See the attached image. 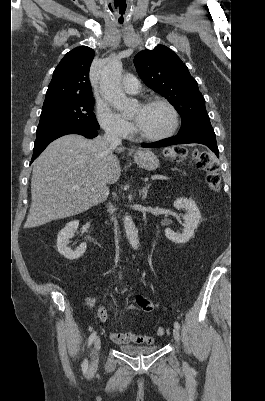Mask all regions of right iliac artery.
I'll list each match as a JSON object with an SVG mask.
<instances>
[{
  "mask_svg": "<svg viewBox=\"0 0 265 401\" xmlns=\"http://www.w3.org/2000/svg\"><path fill=\"white\" fill-rule=\"evenodd\" d=\"M95 337H96V332L94 331L88 338V346H90L94 342ZM81 366H82L83 373H86L87 369H88V361L86 358L84 359Z\"/></svg>",
  "mask_w": 265,
  "mask_h": 401,
  "instance_id": "obj_1",
  "label": "right iliac artery"
}]
</instances>
